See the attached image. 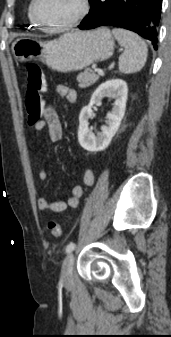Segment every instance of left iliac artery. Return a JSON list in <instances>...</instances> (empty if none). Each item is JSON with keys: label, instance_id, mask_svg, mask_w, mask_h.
<instances>
[{"label": "left iliac artery", "instance_id": "obj_1", "mask_svg": "<svg viewBox=\"0 0 171 337\" xmlns=\"http://www.w3.org/2000/svg\"><path fill=\"white\" fill-rule=\"evenodd\" d=\"M75 247H76L75 243L73 242L69 243L66 247V252L71 253L75 249Z\"/></svg>", "mask_w": 171, "mask_h": 337}]
</instances>
